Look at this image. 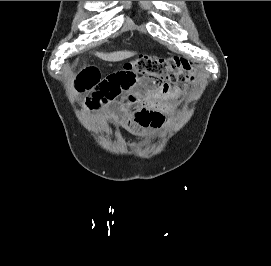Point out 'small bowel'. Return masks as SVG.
<instances>
[{
	"label": "small bowel",
	"mask_w": 271,
	"mask_h": 266,
	"mask_svg": "<svg viewBox=\"0 0 271 266\" xmlns=\"http://www.w3.org/2000/svg\"><path fill=\"white\" fill-rule=\"evenodd\" d=\"M73 90L84 95L85 111H99L100 120H112L137 137L161 127L174 109L171 101L181 94L178 87L129 67L103 77L97 67L87 66L75 76Z\"/></svg>",
	"instance_id": "small-bowel-1"
}]
</instances>
